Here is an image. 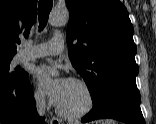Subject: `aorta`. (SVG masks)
<instances>
[{
    "label": "aorta",
    "mask_w": 156,
    "mask_h": 124,
    "mask_svg": "<svg viewBox=\"0 0 156 124\" xmlns=\"http://www.w3.org/2000/svg\"><path fill=\"white\" fill-rule=\"evenodd\" d=\"M69 13L67 9H53L49 15V23L52 26H61L68 22Z\"/></svg>",
    "instance_id": "aorta-1"
}]
</instances>
